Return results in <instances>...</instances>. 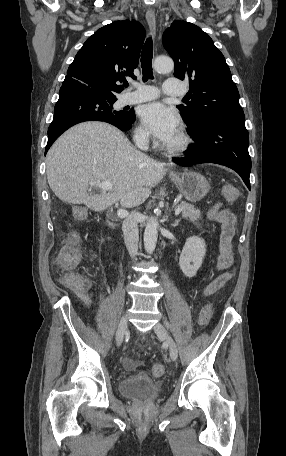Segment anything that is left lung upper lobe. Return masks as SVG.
<instances>
[{
    "mask_svg": "<svg viewBox=\"0 0 286 456\" xmlns=\"http://www.w3.org/2000/svg\"><path fill=\"white\" fill-rule=\"evenodd\" d=\"M163 42L175 63L174 76L189 81L191 101L177 107L191 129L210 118L245 123L230 69L209 35L192 23L174 21Z\"/></svg>",
    "mask_w": 286,
    "mask_h": 456,
    "instance_id": "5c2ea615",
    "label": "left lung upper lobe"
}]
</instances>
